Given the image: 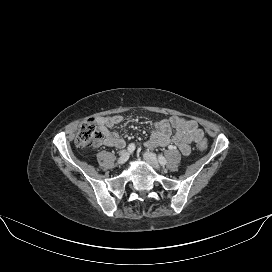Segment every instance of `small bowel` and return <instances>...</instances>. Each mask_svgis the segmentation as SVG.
I'll return each mask as SVG.
<instances>
[{
	"label": "small bowel",
	"instance_id": "small-bowel-1",
	"mask_svg": "<svg viewBox=\"0 0 272 272\" xmlns=\"http://www.w3.org/2000/svg\"><path fill=\"white\" fill-rule=\"evenodd\" d=\"M97 121L102 137L93 144L95 148L100 145L123 148L126 145V141L122 137L111 131L113 126L123 121L121 115L100 117ZM203 136V131L195 121L174 115L155 123L150 138L145 145L147 148L154 149L175 144L181 153L187 156L191 153L190 144L201 141Z\"/></svg>",
	"mask_w": 272,
	"mask_h": 272
}]
</instances>
